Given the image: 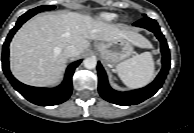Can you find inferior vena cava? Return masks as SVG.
<instances>
[{
	"label": "inferior vena cava",
	"mask_w": 194,
	"mask_h": 133,
	"mask_svg": "<svg viewBox=\"0 0 194 133\" xmlns=\"http://www.w3.org/2000/svg\"><path fill=\"white\" fill-rule=\"evenodd\" d=\"M64 53L67 58H71L77 56L79 54V51L75 46L69 45L65 48Z\"/></svg>",
	"instance_id": "inferior-vena-cava-1"
}]
</instances>
